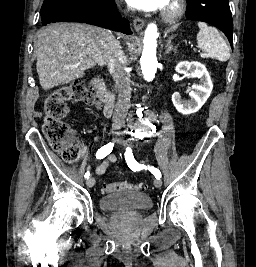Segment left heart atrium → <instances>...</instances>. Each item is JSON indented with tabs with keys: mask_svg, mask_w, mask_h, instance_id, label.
<instances>
[{
	"mask_svg": "<svg viewBox=\"0 0 256 267\" xmlns=\"http://www.w3.org/2000/svg\"><path fill=\"white\" fill-rule=\"evenodd\" d=\"M144 9L149 11H158L165 14L169 8V0H144Z\"/></svg>",
	"mask_w": 256,
	"mask_h": 267,
	"instance_id": "left-heart-atrium-1",
	"label": "left heart atrium"
}]
</instances>
